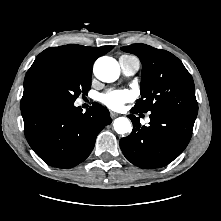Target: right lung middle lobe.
<instances>
[{
	"instance_id": "1",
	"label": "right lung middle lobe",
	"mask_w": 221,
	"mask_h": 221,
	"mask_svg": "<svg viewBox=\"0 0 221 221\" xmlns=\"http://www.w3.org/2000/svg\"><path fill=\"white\" fill-rule=\"evenodd\" d=\"M91 71L72 65H51L32 80L30 94L35 101L74 103L91 88Z\"/></svg>"
}]
</instances>
